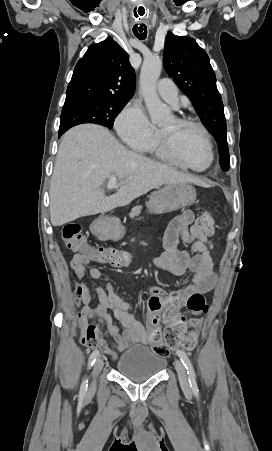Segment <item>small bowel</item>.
I'll return each instance as SVG.
<instances>
[{
  "mask_svg": "<svg viewBox=\"0 0 272 451\" xmlns=\"http://www.w3.org/2000/svg\"><path fill=\"white\" fill-rule=\"evenodd\" d=\"M193 213L184 211L165 226L163 252L152 261V264L175 275L191 274L192 282L173 293H165L156 286H146L143 293L147 296V316L159 315L165 323H172L179 318V311L188 303L190 295L204 294L211 291L217 281L213 268L211 251L213 244L208 238L199 237V228L193 224ZM191 245L189 250L178 248L179 241ZM93 263H106L103 256L88 255ZM72 267V265H71ZM78 282L75 285L76 301L81 305L77 315L78 329L83 332L89 321L99 323L106 328L116 343V349L102 347L103 352L112 360L133 344H145L148 332L143 324L132 313L133 306L126 302L114 290L110 277L97 267L86 270L85 274H75ZM90 277L94 281L102 280L105 286L94 288L96 302L84 282ZM109 310L121 322L124 329L116 326Z\"/></svg>",
  "mask_w": 272,
  "mask_h": 451,
  "instance_id": "obj_1",
  "label": "small bowel"
}]
</instances>
